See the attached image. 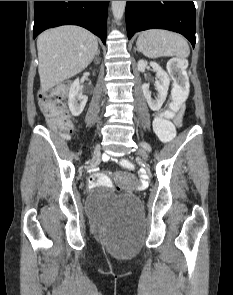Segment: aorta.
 <instances>
[{
  "label": "aorta",
  "instance_id": "obj_1",
  "mask_svg": "<svg viewBox=\"0 0 233 295\" xmlns=\"http://www.w3.org/2000/svg\"><path fill=\"white\" fill-rule=\"evenodd\" d=\"M127 1H112V13L116 20L123 17Z\"/></svg>",
  "mask_w": 233,
  "mask_h": 295
}]
</instances>
